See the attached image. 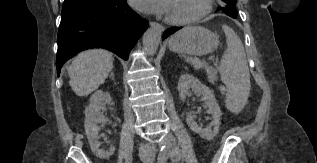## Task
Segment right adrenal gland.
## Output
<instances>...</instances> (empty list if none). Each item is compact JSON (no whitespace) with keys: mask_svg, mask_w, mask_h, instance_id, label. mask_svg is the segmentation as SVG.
<instances>
[{"mask_svg":"<svg viewBox=\"0 0 317 163\" xmlns=\"http://www.w3.org/2000/svg\"><path fill=\"white\" fill-rule=\"evenodd\" d=\"M109 77H110L112 80H114V78H115L114 72H111L110 75H109Z\"/></svg>","mask_w":317,"mask_h":163,"instance_id":"obj_1","label":"right adrenal gland"}]
</instances>
